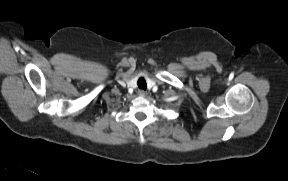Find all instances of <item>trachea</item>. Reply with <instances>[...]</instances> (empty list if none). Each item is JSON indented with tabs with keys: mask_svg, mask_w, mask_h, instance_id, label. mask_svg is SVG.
Segmentation results:
<instances>
[{
	"mask_svg": "<svg viewBox=\"0 0 288 181\" xmlns=\"http://www.w3.org/2000/svg\"><path fill=\"white\" fill-rule=\"evenodd\" d=\"M137 84H138V87L140 89L146 90L147 84H146V81H145V79L143 77L138 79Z\"/></svg>",
	"mask_w": 288,
	"mask_h": 181,
	"instance_id": "3493384b",
	"label": "trachea"
}]
</instances>
